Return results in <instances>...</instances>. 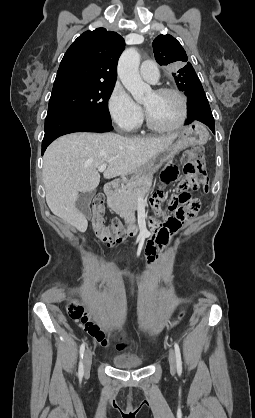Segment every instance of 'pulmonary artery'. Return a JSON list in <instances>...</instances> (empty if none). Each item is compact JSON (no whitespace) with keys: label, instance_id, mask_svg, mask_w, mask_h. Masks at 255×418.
Returning a JSON list of instances; mask_svg holds the SVG:
<instances>
[{"label":"pulmonary artery","instance_id":"1","mask_svg":"<svg viewBox=\"0 0 255 418\" xmlns=\"http://www.w3.org/2000/svg\"><path fill=\"white\" fill-rule=\"evenodd\" d=\"M140 75L144 80L156 83L159 79L157 65L153 61H144L140 66Z\"/></svg>","mask_w":255,"mask_h":418}]
</instances>
